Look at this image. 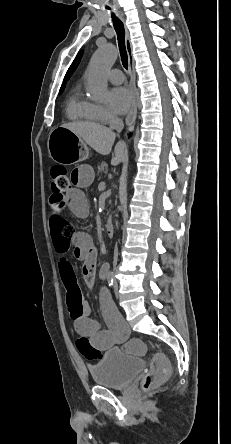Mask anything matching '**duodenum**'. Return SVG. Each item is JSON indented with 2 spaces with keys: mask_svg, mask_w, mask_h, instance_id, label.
<instances>
[{
  "mask_svg": "<svg viewBox=\"0 0 231 444\" xmlns=\"http://www.w3.org/2000/svg\"><path fill=\"white\" fill-rule=\"evenodd\" d=\"M105 232L107 234L108 237H113L114 236V232H115V223L113 219H109L107 220L106 224H105ZM107 273L106 272H102L101 273V278H106Z\"/></svg>",
  "mask_w": 231,
  "mask_h": 444,
  "instance_id": "obj_1",
  "label": "duodenum"
}]
</instances>
